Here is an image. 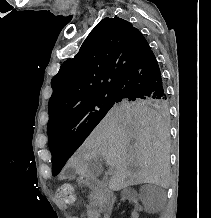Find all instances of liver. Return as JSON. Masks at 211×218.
<instances>
[{"instance_id": "obj_1", "label": "liver", "mask_w": 211, "mask_h": 218, "mask_svg": "<svg viewBox=\"0 0 211 218\" xmlns=\"http://www.w3.org/2000/svg\"><path fill=\"white\" fill-rule=\"evenodd\" d=\"M93 158L115 166L113 188L135 184L169 186V132L163 116L149 108L114 106L70 158L80 180Z\"/></svg>"}]
</instances>
